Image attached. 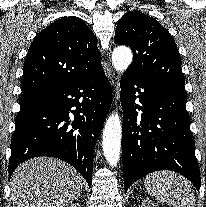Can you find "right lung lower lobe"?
<instances>
[{
  "instance_id": "right-lung-lower-lobe-1",
  "label": "right lung lower lobe",
  "mask_w": 206,
  "mask_h": 207,
  "mask_svg": "<svg viewBox=\"0 0 206 207\" xmlns=\"http://www.w3.org/2000/svg\"><path fill=\"white\" fill-rule=\"evenodd\" d=\"M26 96L32 102L20 108L16 116L9 178L27 159L51 156L72 165L91 186L93 150L112 102L103 69L80 81Z\"/></svg>"
}]
</instances>
